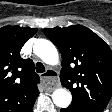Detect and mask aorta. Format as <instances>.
<instances>
[{
    "mask_svg": "<svg viewBox=\"0 0 112 112\" xmlns=\"http://www.w3.org/2000/svg\"><path fill=\"white\" fill-rule=\"evenodd\" d=\"M34 53L45 63L56 65L59 62V55L56 47L52 42L46 39H39L33 47ZM54 104L60 108H66L72 101L71 93L64 89L58 88L52 94Z\"/></svg>",
    "mask_w": 112,
    "mask_h": 112,
    "instance_id": "1",
    "label": "aorta"
}]
</instances>
